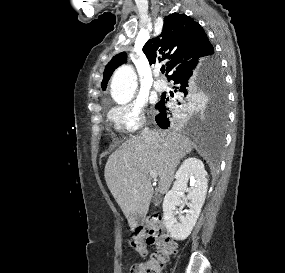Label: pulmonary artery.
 Masks as SVG:
<instances>
[{
    "label": "pulmonary artery",
    "mask_w": 285,
    "mask_h": 273,
    "mask_svg": "<svg viewBox=\"0 0 285 273\" xmlns=\"http://www.w3.org/2000/svg\"><path fill=\"white\" fill-rule=\"evenodd\" d=\"M155 81L153 83V87L156 91L162 92L167 89L168 85L166 81L160 79V71L159 69H155L154 71Z\"/></svg>",
    "instance_id": "e3ab8cb5"
}]
</instances>
